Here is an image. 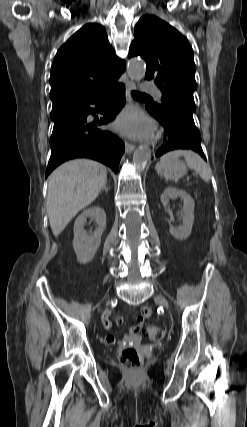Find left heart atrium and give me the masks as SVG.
Wrapping results in <instances>:
<instances>
[{"mask_svg":"<svg viewBox=\"0 0 247 427\" xmlns=\"http://www.w3.org/2000/svg\"><path fill=\"white\" fill-rule=\"evenodd\" d=\"M115 128L135 139H148L154 133L153 122L137 109H128L115 122Z\"/></svg>","mask_w":247,"mask_h":427,"instance_id":"1","label":"left heart atrium"}]
</instances>
